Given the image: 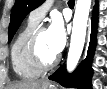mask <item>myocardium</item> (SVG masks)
<instances>
[{"mask_svg":"<svg viewBox=\"0 0 107 89\" xmlns=\"http://www.w3.org/2000/svg\"><path fill=\"white\" fill-rule=\"evenodd\" d=\"M47 31L45 27L38 26L31 34L26 46V59L28 64L39 72H45L53 69L60 61L57 56L51 62H44L39 55L38 40L42 32Z\"/></svg>","mask_w":107,"mask_h":89,"instance_id":"f54148a6","label":"myocardium"}]
</instances>
